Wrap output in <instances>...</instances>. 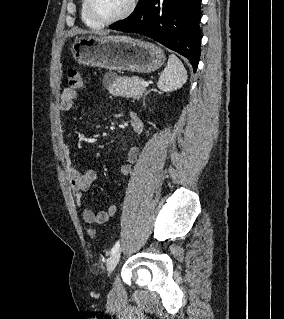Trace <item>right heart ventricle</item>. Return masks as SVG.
<instances>
[{"instance_id":"right-heart-ventricle-1","label":"right heart ventricle","mask_w":284,"mask_h":319,"mask_svg":"<svg viewBox=\"0 0 284 319\" xmlns=\"http://www.w3.org/2000/svg\"><path fill=\"white\" fill-rule=\"evenodd\" d=\"M80 17L82 22L91 29H99L102 27L101 25L91 20L90 17L88 16L86 11V0H81L80 2Z\"/></svg>"}]
</instances>
